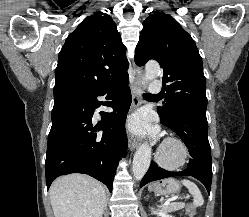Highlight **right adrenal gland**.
<instances>
[{
    "label": "right adrenal gland",
    "mask_w": 249,
    "mask_h": 217,
    "mask_svg": "<svg viewBox=\"0 0 249 217\" xmlns=\"http://www.w3.org/2000/svg\"><path fill=\"white\" fill-rule=\"evenodd\" d=\"M106 209H107V201H106V203H105L104 212H105ZM104 212H103V213H104Z\"/></svg>",
    "instance_id": "1"
}]
</instances>
